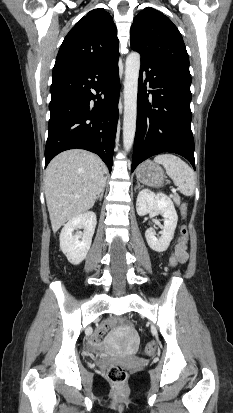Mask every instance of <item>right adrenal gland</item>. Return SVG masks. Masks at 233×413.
Returning <instances> with one entry per match:
<instances>
[{
	"label": "right adrenal gland",
	"mask_w": 233,
	"mask_h": 413,
	"mask_svg": "<svg viewBox=\"0 0 233 413\" xmlns=\"http://www.w3.org/2000/svg\"><path fill=\"white\" fill-rule=\"evenodd\" d=\"M104 190H105V186L102 189L101 193L98 195L97 199H99L100 201L102 200L103 194H104Z\"/></svg>",
	"instance_id": "obj_1"
}]
</instances>
